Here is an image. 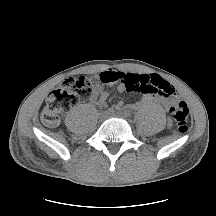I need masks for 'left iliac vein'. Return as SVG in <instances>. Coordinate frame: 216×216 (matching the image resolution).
<instances>
[{
    "mask_svg": "<svg viewBox=\"0 0 216 216\" xmlns=\"http://www.w3.org/2000/svg\"><path fill=\"white\" fill-rule=\"evenodd\" d=\"M112 117H118V118H125V115H123L122 113H116V114H112Z\"/></svg>",
    "mask_w": 216,
    "mask_h": 216,
    "instance_id": "obj_1",
    "label": "left iliac vein"
}]
</instances>
